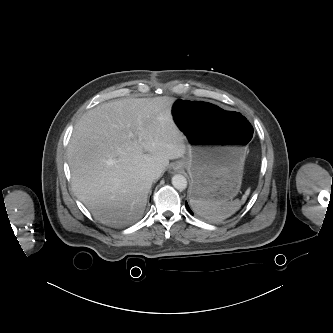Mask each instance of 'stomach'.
<instances>
[{"mask_svg":"<svg viewBox=\"0 0 333 333\" xmlns=\"http://www.w3.org/2000/svg\"><path fill=\"white\" fill-rule=\"evenodd\" d=\"M171 113L191 158L190 198L232 200L241 187L251 124L234 109L200 99H178Z\"/></svg>","mask_w":333,"mask_h":333,"instance_id":"stomach-1","label":"stomach"}]
</instances>
